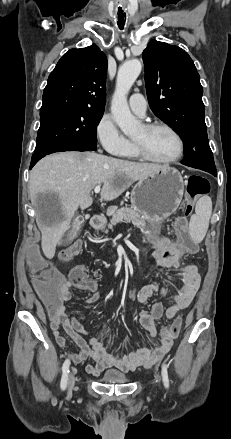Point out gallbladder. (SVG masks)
<instances>
[{
  "mask_svg": "<svg viewBox=\"0 0 231 439\" xmlns=\"http://www.w3.org/2000/svg\"><path fill=\"white\" fill-rule=\"evenodd\" d=\"M84 222V217L78 215L72 223L70 231L66 235V243L72 242L78 235L81 224Z\"/></svg>",
  "mask_w": 231,
  "mask_h": 439,
  "instance_id": "bac80fb5",
  "label": "gallbladder"
}]
</instances>
